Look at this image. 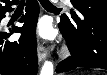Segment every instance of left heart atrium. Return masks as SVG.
I'll return each mask as SVG.
<instances>
[{
    "label": "left heart atrium",
    "instance_id": "obj_1",
    "mask_svg": "<svg viewBox=\"0 0 107 75\" xmlns=\"http://www.w3.org/2000/svg\"><path fill=\"white\" fill-rule=\"evenodd\" d=\"M36 30L38 35L46 40H51L55 36V31L47 19H41L37 24Z\"/></svg>",
    "mask_w": 107,
    "mask_h": 75
}]
</instances>
